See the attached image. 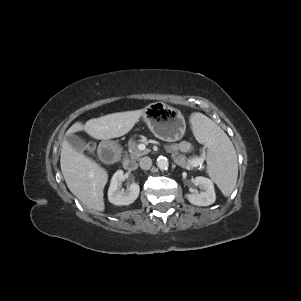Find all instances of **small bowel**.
<instances>
[{"label":"small bowel","instance_id":"small-bowel-1","mask_svg":"<svg viewBox=\"0 0 301 301\" xmlns=\"http://www.w3.org/2000/svg\"><path fill=\"white\" fill-rule=\"evenodd\" d=\"M192 148V145L188 141H181L180 143L173 145L171 149L173 151H180V152H188Z\"/></svg>","mask_w":301,"mask_h":301}]
</instances>
